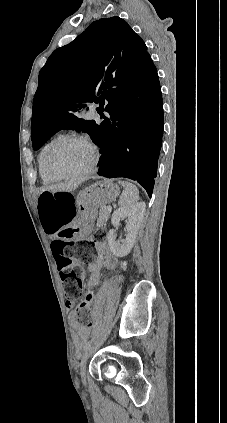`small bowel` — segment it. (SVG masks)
I'll list each match as a JSON object with an SVG mask.
<instances>
[{
    "label": "small bowel",
    "mask_w": 227,
    "mask_h": 423,
    "mask_svg": "<svg viewBox=\"0 0 227 423\" xmlns=\"http://www.w3.org/2000/svg\"><path fill=\"white\" fill-rule=\"evenodd\" d=\"M59 233L60 232H58L56 234L55 233H47L52 238V243L55 242L58 239L57 237L59 236ZM98 249H99L98 257L93 262L88 264V270L90 271V277H89V280H88L89 286H94L99 282L101 268L103 266H105L108 269H113V268L116 267L117 262H118L117 257L110 252V250L108 249L106 244H104V243L99 244ZM73 305H74L73 301L67 300L66 306L68 308H72ZM99 317H100V312L96 308V309H94V311L92 313V321L90 322V324L83 325V324H80L76 320L75 314L71 315L72 327L74 328V330L77 333V337L75 339V345H76L77 348H80L85 343V341L88 339V337L91 333V328H92L93 324L98 321Z\"/></svg>",
    "instance_id": "1"
}]
</instances>
